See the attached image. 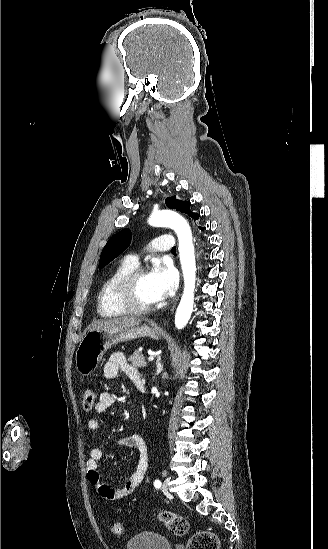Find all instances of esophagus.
<instances>
[{"mask_svg":"<svg viewBox=\"0 0 328 549\" xmlns=\"http://www.w3.org/2000/svg\"><path fill=\"white\" fill-rule=\"evenodd\" d=\"M173 310H174V307L172 308V310H171V311L173 312Z\"/></svg>","mask_w":328,"mask_h":549,"instance_id":"1","label":"esophagus"}]
</instances>
